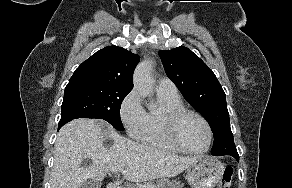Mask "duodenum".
I'll return each mask as SVG.
<instances>
[{"mask_svg": "<svg viewBox=\"0 0 292 188\" xmlns=\"http://www.w3.org/2000/svg\"><path fill=\"white\" fill-rule=\"evenodd\" d=\"M107 188H121V187L115 184H110L107 186Z\"/></svg>", "mask_w": 292, "mask_h": 188, "instance_id": "1", "label": "duodenum"}]
</instances>
